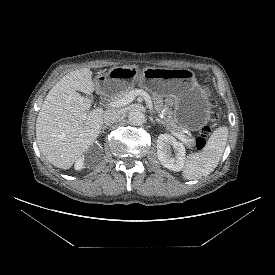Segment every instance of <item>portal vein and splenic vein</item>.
Segmentation results:
<instances>
[{
  "label": "portal vein and splenic vein",
  "mask_w": 275,
  "mask_h": 275,
  "mask_svg": "<svg viewBox=\"0 0 275 275\" xmlns=\"http://www.w3.org/2000/svg\"><path fill=\"white\" fill-rule=\"evenodd\" d=\"M137 96H141L143 97V99L145 100L146 104L148 105L149 109L151 112H153V103L151 100V97L149 96V94L142 90V89H135V90H131L130 92H128L124 97H122L121 99L115 100L110 102L108 105L110 107H122V106H126L127 104H130ZM156 120L161 123V120L159 118L156 117ZM171 133L176 136L177 138H179L182 142L186 143L187 139L175 132L170 130Z\"/></svg>",
  "instance_id": "18ae733b"
}]
</instances>
